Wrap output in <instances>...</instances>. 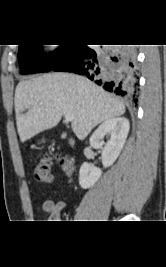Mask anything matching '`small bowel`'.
Listing matches in <instances>:
<instances>
[{
  "instance_id": "c3829d8e",
  "label": "small bowel",
  "mask_w": 166,
  "mask_h": 267,
  "mask_svg": "<svg viewBox=\"0 0 166 267\" xmlns=\"http://www.w3.org/2000/svg\"><path fill=\"white\" fill-rule=\"evenodd\" d=\"M65 208L64 201L45 200L42 204V211L48 215L51 222H57L61 218V213Z\"/></svg>"
}]
</instances>
